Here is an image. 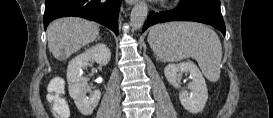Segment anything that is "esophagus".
I'll use <instances>...</instances> for the list:
<instances>
[{"instance_id": "esophagus-1", "label": "esophagus", "mask_w": 273, "mask_h": 118, "mask_svg": "<svg viewBox=\"0 0 273 118\" xmlns=\"http://www.w3.org/2000/svg\"><path fill=\"white\" fill-rule=\"evenodd\" d=\"M138 2V0H126V3L129 5H134Z\"/></svg>"}]
</instances>
